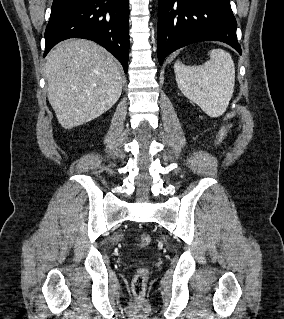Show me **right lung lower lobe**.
Segmentation results:
<instances>
[{"label": "right lung lower lobe", "instance_id": "right-lung-lower-lobe-1", "mask_svg": "<svg viewBox=\"0 0 284 319\" xmlns=\"http://www.w3.org/2000/svg\"><path fill=\"white\" fill-rule=\"evenodd\" d=\"M129 0H54L45 31L44 57L58 42L84 38L112 53L127 72Z\"/></svg>", "mask_w": 284, "mask_h": 319}]
</instances>
